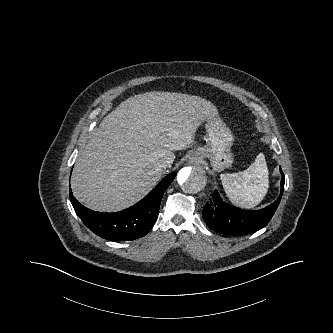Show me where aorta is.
<instances>
[{
    "mask_svg": "<svg viewBox=\"0 0 333 333\" xmlns=\"http://www.w3.org/2000/svg\"><path fill=\"white\" fill-rule=\"evenodd\" d=\"M178 186L188 194H198L206 188L205 171L199 167H184L176 177Z\"/></svg>",
    "mask_w": 333,
    "mask_h": 333,
    "instance_id": "1",
    "label": "aorta"
}]
</instances>
